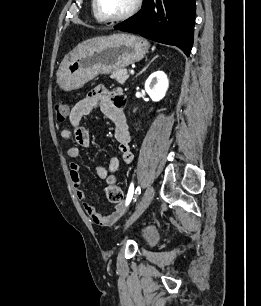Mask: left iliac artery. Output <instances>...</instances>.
<instances>
[{
  "label": "left iliac artery",
  "mask_w": 261,
  "mask_h": 306,
  "mask_svg": "<svg viewBox=\"0 0 261 306\" xmlns=\"http://www.w3.org/2000/svg\"><path fill=\"white\" fill-rule=\"evenodd\" d=\"M133 193H134V186H133V183H131L129 190H128L127 198H126V206L129 205V203L131 202ZM140 193H141V189L140 187H137L135 190V194L138 196L140 195Z\"/></svg>",
  "instance_id": "left-iliac-artery-1"
}]
</instances>
